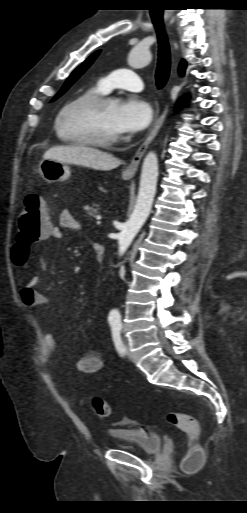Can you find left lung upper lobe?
I'll return each mask as SVG.
<instances>
[{
	"label": "left lung upper lobe",
	"instance_id": "left-lung-upper-lobe-1",
	"mask_svg": "<svg viewBox=\"0 0 247 513\" xmlns=\"http://www.w3.org/2000/svg\"><path fill=\"white\" fill-rule=\"evenodd\" d=\"M100 51L93 53L85 62L82 63L66 80L65 84L58 92V94L53 98L52 101L56 100L62 94H64L68 88L89 68V66L93 63L96 57L99 55Z\"/></svg>",
	"mask_w": 247,
	"mask_h": 513
}]
</instances>
